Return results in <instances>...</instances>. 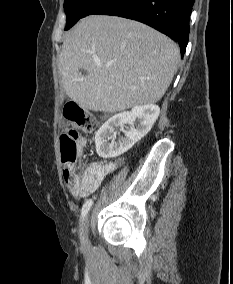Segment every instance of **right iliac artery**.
I'll list each match as a JSON object with an SVG mask.
<instances>
[{"label": "right iliac artery", "instance_id": "82829eb1", "mask_svg": "<svg viewBox=\"0 0 233 284\" xmlns=\"http://www.w3.org/2000/svg\"><path fill=\"white\" fill-rule=\"evenodd\" d=\"M93 204V200L92 199H88L81 210V217L84 218L86 216V214L88 213V211L90 210L91 206Z\"/></svg>", "mask_w": 233, "mask_h": 284}]
</instances>
